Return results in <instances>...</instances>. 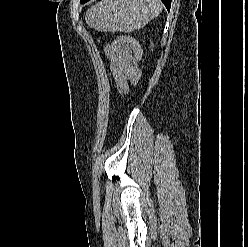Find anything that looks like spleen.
Returning <instances> with one entry per match:
<instances>
[{
    "instance_id": "spleen-1",
    "label": "spleen",
    "mask_w": 248,
    "mask_h": 247,
    "mask_svg": "<svg viewBox=\"0 0 248 247\" xmlns=\"http://www.w3.org/2000/svg\"><path fill=\"white\" fill-rule=\"evenodd\" d=\"M161 11L160 0H102L87 11L85 20L97 31L130 33Z\"/></svg>"
}]
</instances>
